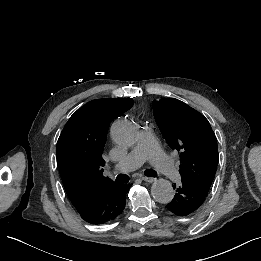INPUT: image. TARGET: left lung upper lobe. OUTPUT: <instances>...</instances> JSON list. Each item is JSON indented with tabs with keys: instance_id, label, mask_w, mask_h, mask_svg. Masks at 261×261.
<instances>
[{
	"instance_id": "5c2ea615",
	"label": "left lung upper lobe",
	"mask_w": 261,
	"mask_h": 261,
	"mask_svg": "<svg viewBox=\"0 0 261 261\" xmlns=\"http://www.w3.org/2000/svg\"><path fill=\"white\" fill-rule=\"evenodd\" d=\"M155 120L168 145L180 151L182 180L209 190L219 161L217 141L208 120L174 98L152 103Z\"/></svg>"
}]
</instances>
